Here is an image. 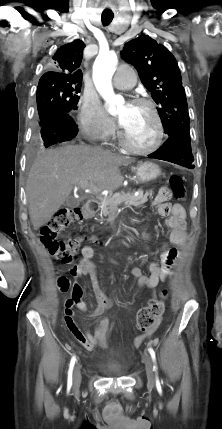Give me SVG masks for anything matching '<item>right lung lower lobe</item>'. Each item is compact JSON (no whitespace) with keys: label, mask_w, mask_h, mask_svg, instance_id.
<instances>
[{"label":"right lung lower lobe","mask_w":222,"mask_h":429,"mask_svg":"<svg viewBox=\"0 0 222 429\" xmlns=\"http://www.w3.org/2000/svg\"><path fill=\"white\" fill-rule=\"evenodd\" d=\"M41 128V137L46 148L59 142L69 141L78 133L77 125L70 114L57 115Z\"/></svg>","instance_id":"1"}]
</instances>
